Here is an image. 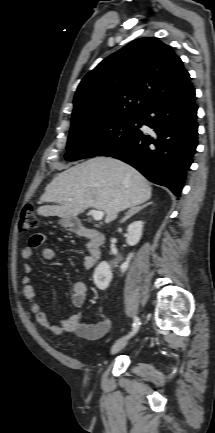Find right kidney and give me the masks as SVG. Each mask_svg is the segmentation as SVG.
Wrapping results in <instances>:
<instances>
[{"label": "right kidney", "instance_id": "obj_1", "mask_svg": "<svg viewBox=\"0 0 215 433\" xmlns=\"http://www.w3.org/2000/svg\"><path fill=\"white\" fill-rule=\"evenodd\" d=\"M143 224L142 221H135L128 226L127 243L130 246H134L139 242L142 236ZM132 257L133 253H130L126 261L120 266L122 273L128 269ZM93 279L94 283L100 290H105L109 286L112 279V273L107 262L103 261L97 266Z\"/></svg>", "mask_w": 215, "mask_h": 433}]
</instances>
